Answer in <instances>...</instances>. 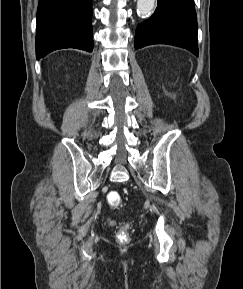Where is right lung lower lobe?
Segmentation results:
<instances>
[{
	"label": "right lung lower lobe",
	"instance_id": "obj_1",
	"mask_svg": "<svg viewBox=\"0 0 243 289\" xmlns=\"http://www.w3.org/2000/svg\"><path fill=\"white\" fill-rule=\"evenodd\" d=\"M91 0H39L36 56L54 50L76 48L91 52Z\"/></svg>",
	"mask_w": 243,
	"mask_h": 289
}]
</instances>
